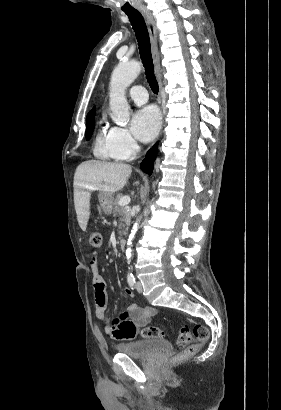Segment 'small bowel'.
<instances>
[{"label": "small bowel", "mask_w": 281, "mask_h": 410, "mask_svg": "<svg viewBox=\"0 0 281 410\" xmlns=\"http://www.w3.org/2000/svg\"><path fill=\"white\" fill-rule=\"evenodd\" d=\"M89 265L93 281L96 317L99 320H105L107 308L106 282L101 274L97 253L90 256ZM124 293L129 298L134 296L130 288H125ZM154 313L155 310L151 307H140L131 304L127 312L122 313L119 318H111L107 321L105 332L116 340H133L137 336L138 329L146 325Z\"/></svg>", "instance_id": "obj_1"}]
</instances>
